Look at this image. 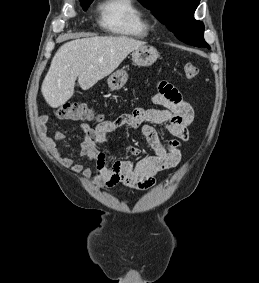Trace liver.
I'll return each instance as SVG.
<instances>
[{"mask_svg": "<svg viewBox=\"0 0 259 283\" xmlns=\"http://www.w3.org/2000/svg\"><path fill=\"white\" fill-rule=\"evenodd\" d=\"M144 44L125 36L86 37L65 43L55 53L42 83L43 97L50 107H60L73 96L77 78L81 89H90Z\"/></svg>", "mask_w": 259, "mask_h": 283, "instance_id": "obj_1", "label": "liver"}]
</instances>
